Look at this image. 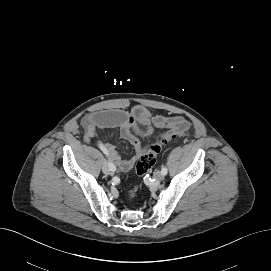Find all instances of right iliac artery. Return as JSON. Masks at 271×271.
Masks as SVG:
<instances>
[{"label": "right iliac artery", "instance_id": "right-iliac-artery-1", "mask_svg": "<svg viewBox=\"0 0 271 271\" xmlns=\"http://www.w3.org/2000/svg\"><path fill=\"white\" fill-rule=\"evenodd\" d=\"M98 146H99V148L103 151V153H104L107 157H109L108 151H107L106 147H105L102 143H100V142L98 143ZM108 165H109L111 171H113V172L116 171V166L111 162L110 158H108Z\"/></svg>", "mask_w": 271, "mask_h": 271}]
</instances>
